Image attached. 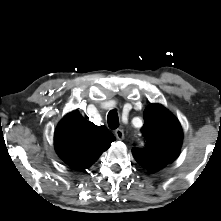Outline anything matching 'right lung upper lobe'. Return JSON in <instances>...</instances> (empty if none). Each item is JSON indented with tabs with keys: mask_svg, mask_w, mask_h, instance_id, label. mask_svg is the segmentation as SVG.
<instances>
[{
	"mask_svg": "<svg viewBox=\"0 0 221 221\" xmlns=\"http://www.w3.org/2000/svg\"><path fill=\"white\" fill-rule=\"evenodd\" d=\"M114 140L111 132L87 121L77 111L60 121L54 135L58 155L75 170L90 167Z\"/></svg>",
	"mask_w": 221,
	"mask_h": 221,
	"instance_id": "1",
	"label": "right lung upper lobe"
}]
</instances>
